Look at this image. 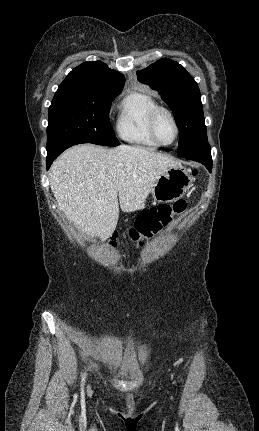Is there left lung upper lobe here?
Returning a JSON list of instances; mask_svg holds the SVG:
<instances>
[{
    "mask_svg": "<svg viewBox=\"0 0 259 431\" xmlns=\"http://www.w3.org/2000/svg\"><path fill=\"white\" fill-rule=\"evenodd\" d=\"M136 74L138 81L157 90L172 110L179 129L178 156L211 152L200 90L185 68L164 58Z\"/></svg>",
    "mask_w": 259,
    "mask_h": 431,
    "instance_id": "5c2ea615",
    "label": "left lung upper lobe"
}]
</instances>
